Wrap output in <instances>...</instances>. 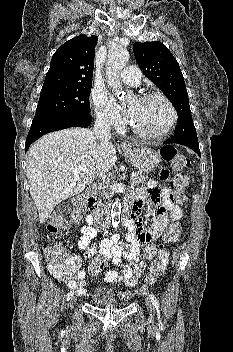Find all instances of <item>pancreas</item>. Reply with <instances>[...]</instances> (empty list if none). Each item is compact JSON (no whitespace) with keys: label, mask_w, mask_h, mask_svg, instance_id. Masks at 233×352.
<instances>
[{"label":"pancreas","mask_w":233,"mask_h":352,"mask_svg":"<svg viewBox=\"0 0 233 352\" xmlns=\"http://www.w3.org/2000/svg\"><path fill=\"white\" fill-rule=\"evenodd\" d=\"M147 177L145 175H136V177L132 178V183L135 185L142 184L146 181Z\"/></svg>","instance_id":"1"}]
</instances>
